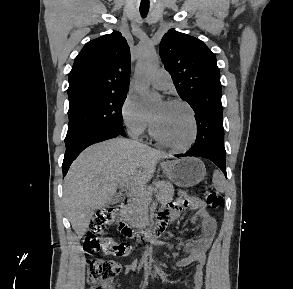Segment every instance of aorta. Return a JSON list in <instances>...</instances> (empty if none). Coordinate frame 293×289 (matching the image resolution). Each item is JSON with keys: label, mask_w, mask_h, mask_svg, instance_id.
Instances as JSON below:
<instances>
[{"label": "aorta", "mask_w": 293, "mask_h": 289, "mask_svg": "<svg viewBox=\"0 0 293 289\" xmlns=\"http://www.w3.org/2000/svg\"><path fill=\"white\" fill-rule=\"evenodd\" d=\"M158 58L153 53H146L136 67V87L147 105H155L161 101V95L150 90L149 78L158 69Z\"/></svg>", "instance_id": "762f6f07"}]
</instances>
